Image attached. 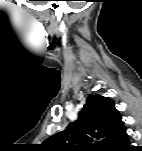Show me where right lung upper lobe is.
<instances>
[{
	"instance_id": "1",
	"label": "right lung upper lobe",
	"mask_w": 142,
	"mask_h": 151,
	"mask_svg": "<svg viewBox=\"0 0 142 151\" xmlns=\"http://www.w3.org/2000/svg\"><path fill=\"white\" fill-rule=\"evenodd\" d=\"M98 142L92 145V141ZM128 141L126 128L114 102L90 94L75 123L48 138L44 146L52 151H115Z\"/></svg>"
}]
</instances>
